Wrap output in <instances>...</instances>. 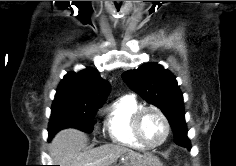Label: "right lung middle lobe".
<instances>
[{
	"mask_svg": "<svg viewBox=\"0 0 236 166\" xmlns=\"http://www.w3.org/2000/svg\"><path fill=\"white\" fill-rule=\"evenodd\" d=\"M100 107L71 101L53 102L48 126L49 139L59 130L70 127L91 133L94 114Z\"/></svg>",
	"mask_w": 236,
	"mask_h": 166,
	"instance_id": "obj_1",
	"label": "right lung middle lobe"
}]
</instances>
